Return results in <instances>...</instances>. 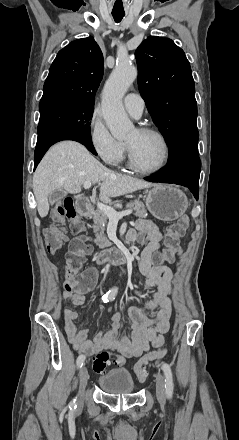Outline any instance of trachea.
I'll list each match as a JSON object with an SVG mask.
<instances>
[{
	"label": "trachea",
	"instance_id": "3493384b",
	"mask_svg": "<svg viewBox=\"0 0 239 440\" xmlns=\"http://www.w3.org/2000/svg\"><path fill=\"white\" fill-rule=\"evenodd\" d=\"M115 22L119 23L123 19L125 13H112Z\"/></svg>",
	"mask_w": 239,
	"mask_h": 440
}]
</instances>
